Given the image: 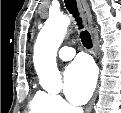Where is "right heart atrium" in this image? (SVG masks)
Returning a JSON list of instances; mask_svg holds the SVG:
<instances>
[{
	"mask_svg": "<svg viewBox=\"0 0 121 113\" xmlns=\"http://www.w3.org/2000/svg\"><path fill=\"white\" fill-rule=\"evenodd\" d=\"M53 100L57 109L65 108V104L62 102V100L59 97L54 96Z\"/></svg>",
	"mask_w": 121,
	"mask_h": 113,
	"instance_id": "right-heart-atrium-1",
	"label": "right heart atrium"
}]
</instances>
